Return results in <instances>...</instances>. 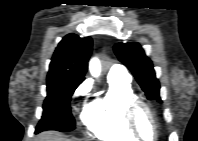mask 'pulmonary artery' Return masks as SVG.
Here are the masks:
<instances>
[{"label": "pulmonary artery", "mask_w": 198, "mask_h": 141, "mask_svg": "<svg viewBox=\"0 0 198 141\" xmlns=\"http://www.w3.org/2000/svg\"><path fill=\"white\" fill-rule=\"evenodd\" d=\"M108 79L129 82L130 75L121 66H113L108 73Z\"/></svg>", "instance_id": "e3ab8cb5"}]
</instances>
